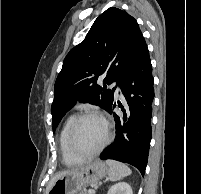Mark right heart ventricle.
I'll list each match as a JSON object with an SVG mask.
<instances>
[{"label":"right heart ventricle","instance_id":"e07e8e85","mask_svg":"<svg viewBox=\"0 0 201 194\" xmlns=\"http://www.w3.org/2000/svg\"><path fill=\"white\" fill-rule=\"evenodd\" d=\"M75 117V115H70L66 118L61 127L58 137V145L61 154V159L63 164H65L66 166H75L83 161L82 159L77 158L70 152L67 144L68 131Z\"/></svg>","mask_w":201,"mask_h":194}]
</instances>
